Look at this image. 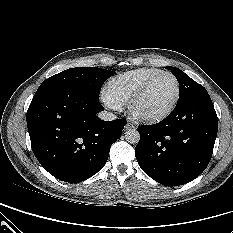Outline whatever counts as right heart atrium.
I'll return each mask as SVG.
<instances>
[{"instance_id":"1","label":"right heart atrium","mask_w":233,"mask_h":233,"mask_svg":"<svg viewBox=\"0 0 233 233\" xmlns=\"http://www.w3.org/2000/svg\"><path fill=\"white\" fill-rule=\"evenodd\" d=\"M101 99L104 104L111 109L119 110L122 106L108 93L106 89L102 91Z\"/></svg>"}]
</instances>
